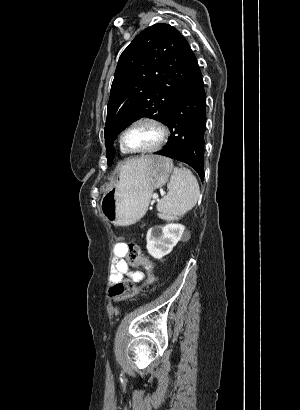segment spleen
Listing matches in <instances>:
<instances>
[{"label": "spleen", "mask_w": 300, "mask_h": 410, "mask_svg": "<svg viewBox=\"0 0 300 410\" xmlns=\"http://www.w3.org/2000/svg\"><path fill=\"white\" fill-rule=\"evenodd\" d=\"M168 194L158 202L159 218L167 221L179 220L197 203L200 195L196 177L186 167H175L167 185Z\"/></svg>", "instance_id": "spleen-1"}]
</instances>
